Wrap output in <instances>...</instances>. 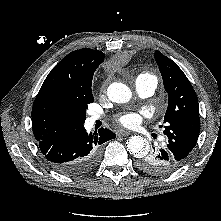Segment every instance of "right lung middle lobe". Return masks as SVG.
Masks as SVG:
<instances>
[{
  "instance_id": "1",
  "label": "right lung middle lobe",
  "mask_w": 221,
  "mask_h": 221,
  "mask_svg": "<svg viewBox=\"0 0 221 221\" xmlns=\"http://www.w3.org/2000/svg\"><path fill=\"white\" fill-rule=\"evenodd\" d=\"M92 79H90L89 87L84 95L81 96L78 103L75 106L74 113L80 119V124L83 125L86 119L87 105L93 102V95L91 91Z\"/></svg>"
}]
</instances>
